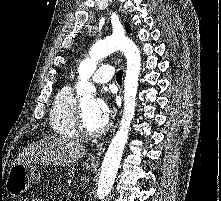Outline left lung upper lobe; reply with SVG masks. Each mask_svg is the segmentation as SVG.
<instances>
[{"mask_svg":"<svg viewBox=\"0 0 221 201\" xmlns=\"http://www.w3.org/2000/svg\"><path fill=\"white\" fill-rule=\"evenodd\" d=\"M125 26H126V28H127V31L130 32V31H131V30H130V26H129L128 24H126Z\"/></svg>","mask_w":221,"mask_h":201,"instance_id":"5c2ea615","label":"left lung upper lobe"}]
</instances>
